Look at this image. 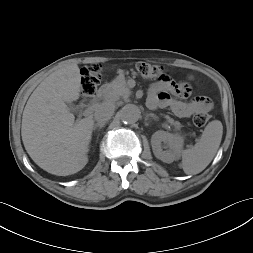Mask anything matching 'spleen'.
Listing matches in <instances>:
<instances>
[{"mask_svg": "<svg viewBox=\"0 0 253 253\" xmlns=\"http://www.w3.org/2000/svg\"><path fill=\"white\" fill-rule=\"evenodd\" d=\"M223 135L222 123L211 121L205 127L199 141L191 149L182 152V168L188 175L202 172L212 161Z\"/></svg>", "mask_w": 253, "mask_h": 253, "instance_id": "obj_1", "label": "spleen"}]
</instances>
